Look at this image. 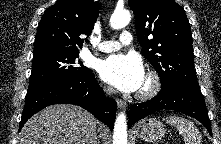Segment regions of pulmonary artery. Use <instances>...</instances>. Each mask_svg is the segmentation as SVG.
I'll use <instances>...</instances> for the list:
<instances>
[{
  "mask_svg": "<svg viewBox=\"0 0 221 144\" xmlns=\"http://www.w3.org/2000/svg\"><path fill=\"white\" fill-rule=\"evenodd\" d=\"M132 42V35L128 31H123L118 41H103L98 45V50L109 53L119 50L122 46L129 45Z\"/></svg>",
  "mask_w": 221,
  "mask_h": 144,
  "instance_id": "pulmonary-artery-1",
  "label": "pulmonary artery"
}]
</instances>
